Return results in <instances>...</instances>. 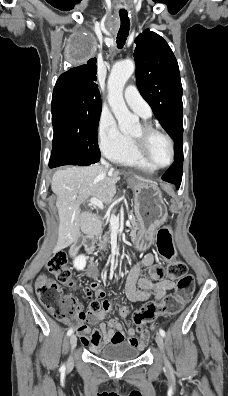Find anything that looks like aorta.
Segmentation results:
<instances>
[{
  "label": "aorta",
  "mask_w": 228,
  "mask_h": 396,
  "mask_svg": "<svg viewBox=\"0 0 228 396\" xmlns=\"http://www.w3.org/2000/svg\"><path fill=\"white\" fill-rule=\"evenodd\" d=\"M134 70L132 60L120 61L112 67L107 82L108 103L123 133L133 131L139 122L138 117L130 113L123 98L124 86Z\"/></svg>",
  "instance_id": "762f6f07"
}]
</instances>
